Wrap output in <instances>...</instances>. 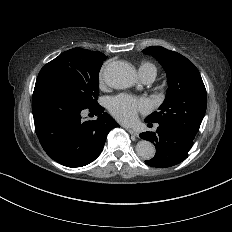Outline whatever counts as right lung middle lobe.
Here are the masks:
<instances>
[{"label":"right lung middle lobe","mask_w":232,"mask_h":232,"mask_svg":"<svg viewBox=\"0 0 232 232\" xmlns=\"http://www.w3.org/2000/svg\"><path fill=\"white\" fill-rule=\"evenodd\" d=\"M106 56L86 49L65 51L46 64L37 79L58 83L84 106L97 105L98 74Z\"/></svg>","instance_id":"dd1d6c3e"}]
</instances>
